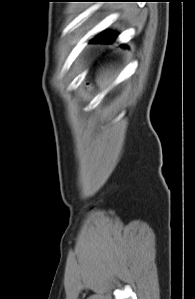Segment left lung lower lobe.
Instances as JSON below:
<instances>
[{"mask_svg":"<svg viewBox=\"0 0 195 299\" xmlns=\"http://www.w3.org/2000/svg\"><path fill=\"white\" fill-rule=\"evenodd\" d=\"M115 34H111L108 32L101 33L94 37L90 42H106V43H111L115 41Z\"/></svg>","mask_w":195,"mask_h":299,"instance_id":"left-lung-lower-lobe-1","label":"left lung lower lobe"}]
</instances>
